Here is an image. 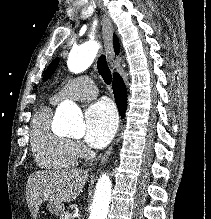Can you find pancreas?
Wrapping results in <instances>:
<instances>
[{
  "mask_svg": "<svg viewBox=\"0 0 211 219\" xmlns=\"http://www.w3.org/2000/svg\"><path fill=\"white\" fill-rule=\"evenodd\" d=\"M60 219H72V216L68 211H65L62 215H60Z\"/></svg>",
  "mask_w": 211,
  "mask_h": 219,
  "instance_id": "pancreas-1",
  "label": "pancreas"
}]
</instances>
